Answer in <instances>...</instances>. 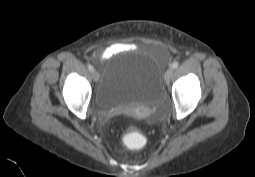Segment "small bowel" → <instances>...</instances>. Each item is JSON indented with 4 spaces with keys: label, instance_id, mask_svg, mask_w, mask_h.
<instances>
[{
    "label": "small bowel",
    "instance_id": "c3829d8e",
    "mask_svg": "<svg viewBox=\"0 0 255 177\" xmlns=\"http://www.w3.org/2000/svg\"><path fill=\"white\" fill-rule=\"evenodd\" d=\"M132 45H126V44H113L109 47H107L100 55V60H108L118 54L120 51L126 50L131 48Z\"/></svg>",
    "mask_w": 255,
    "mask_h": 177
}]
</instances>
